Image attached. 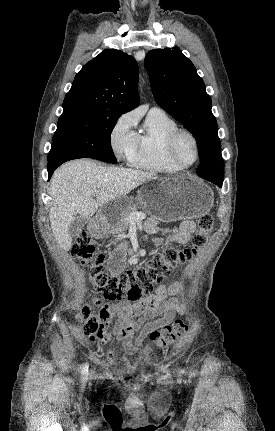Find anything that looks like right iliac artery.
<instances>
[{"label":"right iliac artery","instance_id":"obj_1","mask_svg":"<svg viewBox=\"0 0 275 431\" xmlns=\"http://www.w3.org/2000/svg\"><path fill=\"white\" fill-rule=\"evenodd\" d=\"M88 372V365L84 364L82 367V375H87Z\"/></svg>","mask_w":275,"mask_h":431}]
</instances>
